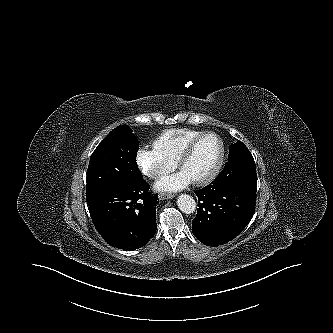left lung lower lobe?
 Segmentation results:
<instances>
[{
  "mask_svg": "<svg viewBox=\"0 0 333 333\" xmlns=\"http://www.w3.org/2000/svg\"><path fill=\"white\" fill-rule=\"evenodd\" d=\"M225 168L215 180L195 191L198 211L192 221L195 237L208 246L225 244L251 221L256 205V190L237 183L236 175Z\"/></svg>",
  "mask_w": 333,
  "mask_h": 333,
  "instance_id": "1",
  "label": "left lung lower lobe"
}]
</instances>
